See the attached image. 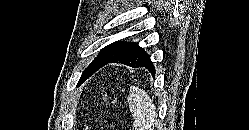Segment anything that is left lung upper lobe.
Wrapping results in <instances>:
<instances>
[{"label": "left lung upper lobe", "instance_id": "obj_1", "mask_svg": "<svg viewBox=\"0 0 249 130\" xmlns=\"http://www.w3.org/2000/svg\"><path fill=\"white\" fill-rule=\"evenodd\" d=\"M129 43L116 41L101 50L97 57L83 71L78 82V86L85 82L93 73H95L106 61L117 56Z\"/></svg>", "mask_w": 249, "mask_h": 130}]
</instances>
